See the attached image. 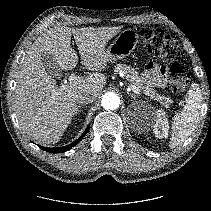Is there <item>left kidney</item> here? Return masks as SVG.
<instances>
[{
  "label": "left kidney",
  "mask_w": 211,
  "mask_h": 211,
  "mask_svg": "<svg viewBox=\"0 0 211 211\" xmlns=\"http://www.w3.org/2000/svg\"><path fill=\"white\" fill-rule=\"evenodd\" d=\"M147 119V120H146ZM141 122H148V124L153 127V132L157 138H167L169 124L165 113L162 110H155L152 113V118L148 120L145 118Z\"/></svg>",
  "instance_id": "left-kidney-1"
}]
</instances>
